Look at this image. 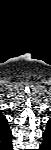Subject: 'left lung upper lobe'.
Segmentation results:
<instances>
[{"instance_id":"1","label":"left lung upper lobe","mask_w":51,"mask_h":150,"mask_svg":"<svg viewBox=\"0 0 51 150\" xmlns=\"http://www.w3.org/2000/svg\"><path fill=\"white\" fill-rule=\"evenodd\" d=\"M50 122V121H49ZM51 130V125L47 124L46 131Z\"/></svg>"}]
</instances>
